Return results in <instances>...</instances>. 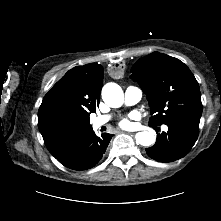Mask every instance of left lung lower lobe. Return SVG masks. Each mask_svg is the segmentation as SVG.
<instances>
[{
	"label": "left lung lower lobe",
	"mask_w": 221,
	"mask_h": 221,
	"mask_svg": "<svg viewBox=\"0 0 221 221\" xmlns=\"http://www.w3.org/2000/svg\"><path fill=\"white\" fill-rule=\"evenodd\" d=\"M201 116L180 117L167 121V132L157 135L154 146L147 148V155L159 162H173L184 157L195 144Z\"/></svg>",
	"instance_id": "1"
}]
</instances>
